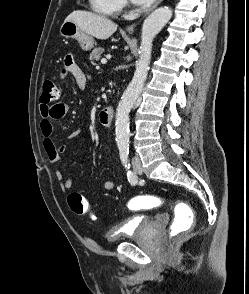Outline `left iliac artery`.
<instances>
[{
  "mask_svg": "<svg viewBox=\"0 0 249 294\" xmlns=\"http://www.w3.org/2000/svg\"><path fill=\"white\" fill-rule=\"evenodd\" d=\"M119 152H120V159L122 163L124 164L125 168L128 169L127 171L128 181L132 185H135L137 183V177L131 170H129L130 169V163L128 160L129 146L128 145L119 146Z\"/></svg>",
  "mask_w": 249,
  "mask_h": 294,
  "instance_id": "1",
  "label": "left iliac artery"
}]
</instances>
